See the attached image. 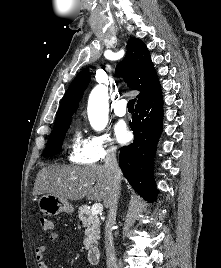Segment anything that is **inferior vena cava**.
Wrapping results in <instances>:
<instances>
[{
    "label": "inferior vena cava",
    "mask_w": 221,
    "mask_h": 268,
    "mask_svg": "<svg viewBox=\"0 0 221 268\" xmlns=\"http://www.w3.org/2000/svg\"><path fill=\"white\" fill-rule=\"evenodd\" d=\"M104 167L111 179V201L108 206L109 212L105 227L106 264L107 268H118L112 234V228L116 220L121 184V170L116 159V149L108 151L104 161Z\"/></svg>",
    "instance_id": "inferior-vena-cava-1"
}]
</instances>
